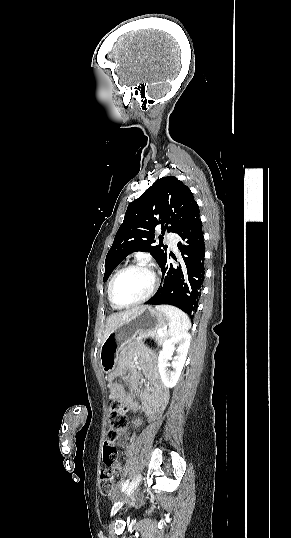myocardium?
<instances>
[{"label": "myocardium", "instance_id": "myocardium-1", "mask_svg": "<svg viewBox=\"0 0 291 538\" xmlns=\"http://www.w3.org/2000/svg\"><path fill=\"white\" fill-rule=\"evenodd\" d=\"M134 269H140V270H144V271L150 273L151 276H152V285H151L149 291L146 293V295H144L140 299L132 301V302H129V303L118 304L114 299V286H115V283H116L117 279L123 273H125L127 271H130V270H134ZM158 285H159V277H158V274H157V272L155 271L154 268H152L150 265H148L146 263H141V262L132 263V264H129V265L121 268L120 270H118L115 273V275L112 277V279L110 281V284H109V290H108L109 301L111 302L112 306L115 307V308H127V307H131V306H135V305L144 303L147 300H149L153 296V294L156 291Z\"/></svg>", "mask_w": 291, "mask_h": 538}]
</instances>
